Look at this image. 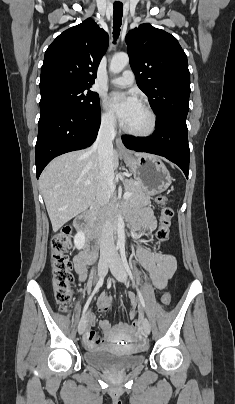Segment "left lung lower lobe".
Listing matches in <instances>:
<instances>
[{"mask_svg":"<svg viewBox=\"0 0 235 404\" xmlns=\"http://www.w3.org/2000/svg\"><path fill=\"white\" fill-rule=\"evenodd\" d=\"M123 144L131 150L166 157L177 164L185 176L189 173V145L186 118L169 117L156 122V131L150 137L122 136Z\"/></svg>","mask_w":235,"mask_h":404,"instance_id":"left-lung-lower-lobe-1","label":"left lung lower lobe"}]
</instances>
